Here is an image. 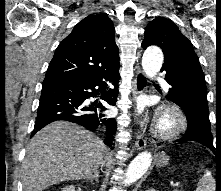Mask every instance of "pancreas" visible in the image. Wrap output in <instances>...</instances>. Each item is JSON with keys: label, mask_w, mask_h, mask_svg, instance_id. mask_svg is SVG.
<instances>
[{"label": "pancreas", "mask_w": 221, "mask_h": 191, "mask_svg": "<svg viewBox=\"0 0 221 191\" xmlns=\"http://www.w3.org/2000/svg\"><path fill=\"white\" fill-rule=\"evenodd\" d=\"M174 191H181V190L175 189Z\"/></svg>", "instance_id": "cf45deb5"}]
</instances>
